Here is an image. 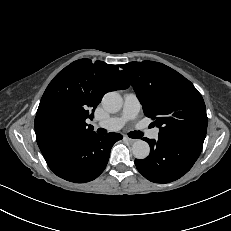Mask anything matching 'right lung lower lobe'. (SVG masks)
<instances>
[{"label":"right lung lower lobe","mask_w":231,"mask_h":231,"mask_svg":"<svg viewBox=\"0 0 231 231\" xmlns=\"http://www.w3.org/2000/svg\"><path fill=\"white\" fill-rule=\"evenodd\" d=\"M122 139L118 133H93L77 141L63 142L42 151L49 168L59 177L75 183L89 182L105 169L110 150Z\"/></svg>","instance_id":"1"}]
</instances>
